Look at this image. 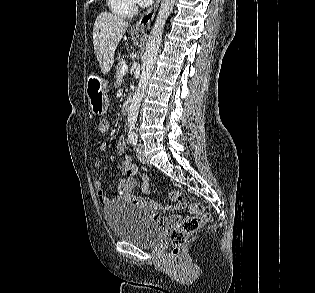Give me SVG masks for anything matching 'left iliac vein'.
Segmentation results:
<instances>
[{"mask_svg":"<svg viewBox=\"0 0 315 293\" xmlns=\"http://www.w3.org/2000/svg\"><path fill=\"white\" fill-rule=\"evenodd\" d=\"M135 150H136V155H137V158L139 159V161L142 162L143 164L148 163L146 156H145V153H144V145L141 143L138 144L136 146Z\"/></svg>","mask_w":315,"mask_h":293,"instance_id":"obj_1","label":"left iliac vein"}]
</instances>
